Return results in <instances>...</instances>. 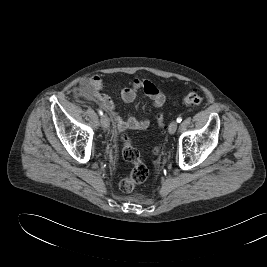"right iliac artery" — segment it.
I'll return each instance as SVG.
<instances>
[{
	"mask_svg": "<svg viewBox=\"0 0 267 267\" xmlns=\"http://www.w3.org/2000/svg\"><path fill=\"white\" fill-rule=\"evenodd\" d=\"M99 115H103V112L101 110L98 111Z\"/></svg>",
	"mask_w": 267,
	"mask_h": 267,
	"instance_id": "obj_1",
	"label": "right iliac artery"
}]
</instances>
